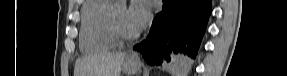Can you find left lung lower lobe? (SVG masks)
I'll use <instances>...</instances> for the list:
<instances>
[{
    "label": "left lung lower lobe",
    "instance_id": "1",
    "mask_svg": "<svg viewBox=\"0 0 287 76\" xmlns=\"http://www.w3.org/2000/svg\"><path fill=\"white\" fill-rule=\"evenodd\" d=\"M162 1V11L153 20L148 37L134 49L150 65H160L171 58L190 62L196 58L205 32L211 0Z\"/></svg>",
    "mask_w": 287,
    "mask_h": 76
}]
</instances>
